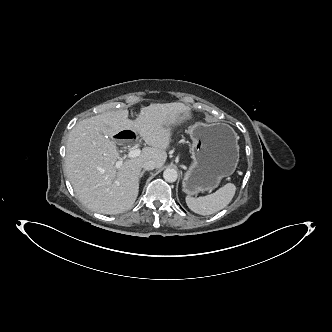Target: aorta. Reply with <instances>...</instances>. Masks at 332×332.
<instances>
[{
  "instance_id": "aorta-1",
  "label": "aorta",
  "mask_w": 332,
  "mask_h": 332,
  "mask_svg": "<svg viewBox=\"0 0 332 332\" xmlns=\"http://www.w3.org/2000/svg\"><path fill=\"white\" fill-rule=\"evenodd\" d=\"M177 177H178V173L175 169L167 168L163 172V178L167 182H170V183L175 182L177 180Z\"/></svg>"
}]
</instances>
